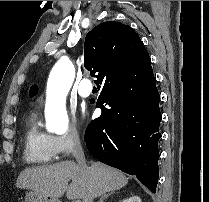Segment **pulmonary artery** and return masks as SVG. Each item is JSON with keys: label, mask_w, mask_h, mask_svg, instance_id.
<instances>
[{"label": "pulmonary artery", "mask_w": 209, "mask_h": 202, "mask_svg": "<svg viewBox=\"0 0 209 202\" xmlns=\"http://www.w3.org/2000/svg\"><path fill=\"white\" fill-rule=\"evenodd\" d=\"M91 92L92 85L90 84V81L87 78H85L84 82L81 84L79 88V94L82 97H88Z\"/></svg>", "instance_id": "e3ab8cb5"}]
</instances>
